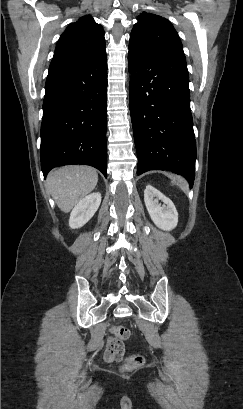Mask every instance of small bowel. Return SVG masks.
<instances>
[{"mask_svg": "<svg viewBox=\"0 0 243 409\" xmlns=\"http://www.w3.org/2000/svg\"><path fill=\"white\" fill-rule=\"evenodd\" d=\"M125 354L124 347L119 342L117 337L109 336L106 340L105 348L103 350V357L106 362H120L123 360Z\"/></svg>", "mask_w": 243, "mask_h": 409, "instance_id": "small-bowel-1", "label": "small bowel"}]
</instances>
